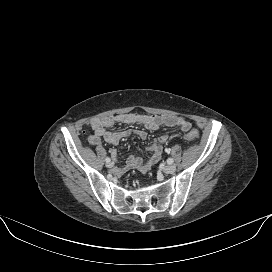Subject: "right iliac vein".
Here are the masks:
<instances>
[{"instance_id": "63e3f726", "label": "right iliac vein", "mask_w": 272, "mask_h": 272, "mask_svg": "<svg viewBox=\"0 0 272 272\" xmlns=\"http://www.w3.org/2000/svg\"><path fill=\"white\" fill-rule=\"evenodd\" d=\"M106 166L108 167V168H112L113 166H114V163L113 162H107L106 163Z\"/></svg>"}]
</instances>
